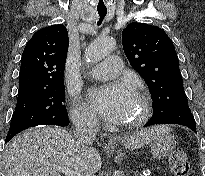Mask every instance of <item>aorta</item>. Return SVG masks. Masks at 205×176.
<instances>
[{
	"label": "aorta",
	"instance_id": "aorta-1",
	"mask_svg": "<svg viewBox=\"0 0 205 176\" xmlns=\"http://www.w3.org/2000/svg\"><path fill=\"white\" fill-rule=\"evenodd\" d=\"M115 49V40L113 38H100L93 41L86 50V61L88 63H97Z\"/></svg>",
	"mask_w": 205,
	"mask_h": 176
}]
</instances>
